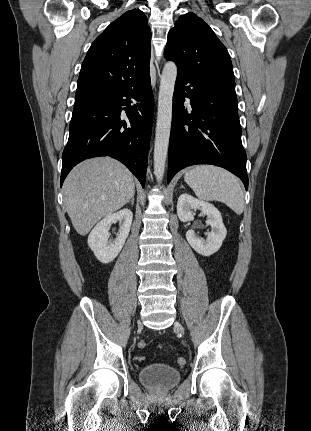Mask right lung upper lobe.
<instances>
[{
    "label": "right lung upper lobe",
    "mask_w": 311,
    "mask_h": 431,
    "mask_svg": "<svg viewBox=\"0 0 311 431\" xmlns=\"http://www.w3.org/2000/svg\"><path fill=\"white\" fill-rule=\"evenodd\" d=\"M151 30L139 9L124 13L100 34L83 61L75 98L116 90L149 72Z\"/></svg>",
    "instance_id": "right-lung-upper-lobe-1"
}]
</instances>
